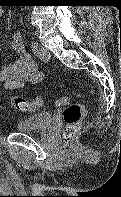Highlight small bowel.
Returning <instances> with one entry per match:
<instances>
[{"label": "small bowel", "mask_w": 121, "mask_h": 197, "mask_svg": "<svg viewBox=\"0 0 121 197\" xmlns=\"http://www.w3.org/2000/svg\"><path fill=\"white\" fill-rule=\"evenodd\" d=\"M2 17L3 9L0 7V20ZM11 49L15 53V60L12 65L0 70V84L7 90L18 91L24 89L26 84L41 81L43 75L27 52L20 33L13 35Z\"/></svg>", "instance_id": "obj_1"}]
</instances>
